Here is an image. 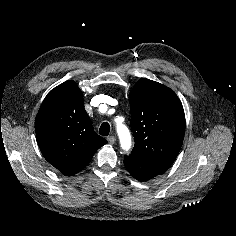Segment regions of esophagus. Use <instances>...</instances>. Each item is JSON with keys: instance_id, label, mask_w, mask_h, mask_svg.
<instances>
[{"instance_id": "obj_1", "label": "esophagus", "mask_w": 236, "mask_h": 236, "mask_svg": "<svg viewBox=\"0 0 236 236\" xmlns=\"http://www.w3.org/2000/svg\"><path fill=\"white\" fill-rule=\"evenodd\" d=\"M107 141H108L110 144H114L115 141H116V138H115L114 136H109V137L107 138Z\"/></svg>"}]
</instances>
